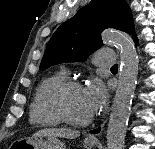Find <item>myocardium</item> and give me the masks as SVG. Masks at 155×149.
Returning a JSON list of instances; mask_svg holds the SVG:
<instances>
[{"instance_id": "1", "label": "myocardium", "mask_w": 155, "mask_h": 149, "mask_svg": "<svg viewBox=\"0 0 155 149\" xmlns=\"http://www.w3.org/2000/svg\"><path fill=\"white\" fill-rule=\"evenodd\" d=\"M73 88H82V85L77 80L66 79L65 81L59 83L53 90L51 94V104L54 112L60 118V120L66 124L72 126H85L92 121V116L83 119L76 120L72 118L66 108H65V95L66 93Z\"/></svg>"}]
</instances>
